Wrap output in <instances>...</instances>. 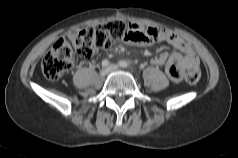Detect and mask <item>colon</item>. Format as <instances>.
<instances>
[{
    "label": "colon",
    "instance_id": "obj_1",
    "mask_svg": "<svg viewBox=\"0 0 238 158\" xmlns=\"http://www.w3.org/2000/svg\"><path fill=\"white\" fill-rule=\"evenodd\" d=\"M131 31V24L121 20L110 21L99 27L71 30L43 58V75L48 80H57L74 66L76 57L90 58L100 50L107 49L114 40L129 39ZM200 76V70L193 68L187 71L185 80L193 85L200 80Z\"/></svg>",
    "mask_w": 238,
    "mask_h": 158
}]
</instances>
